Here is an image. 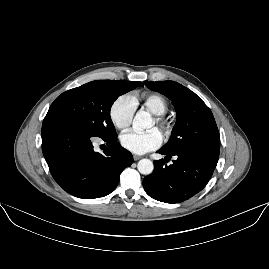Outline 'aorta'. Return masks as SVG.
<instances>
[{
    "mask_svg": "<svg viewBox=\"0 0 269 269\" xmlns=\"http://www.w3.org/2000/svg\"><path fill=\"white\" fill-rule=\"evenodd\" d=\"M153 127V121L151 119L150 113L139 110L133 121V129L136 132L143 131ZM138 171L143 175H149L154 170L153 162L150 159H141L137 164Z\"/></svg>",
    "mask_w": 269,
    "mask_h": 269,
    "instance_id": "1",
    "label": "aorta"
}]
</instances>
